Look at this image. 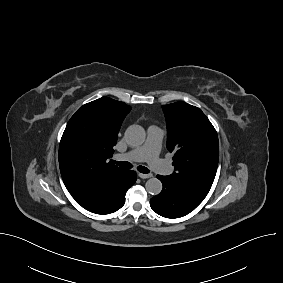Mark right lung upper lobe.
Returning <instances> with one entry per match:
<instances>
[{
	"label": "right lung upper lobe",
	"mask_w": 283,
	"mask_h": 283,
	"mask_svg": "<svg viewBox=\"0 0 283 283\" xmlns=\"http://www.w3.org/2000/svg\"><path fill=\"white\" fill-rule=\"evenodd\" d=\"M131 107L102 97L80 107L69 120L59 146L63 182L79 203L125 170L109 160Z\"/></svg>",
	"instance_id": "obj_1"
}]
</instances>
